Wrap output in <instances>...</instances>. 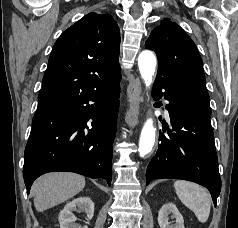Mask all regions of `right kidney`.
Listing matches in <instances>:
<instances>
[{"label": "right kidney", "mask_w": 238, "mask_h": 228, "mask_svg": "<svg viewBox=\"0 0 238 228\" xmlns=\"http://www.w3.org/2000/svg\"><path fill=\"white\" fill-rule=\"evenodd\" d=\"M75 210L84 212L87 220H90L94 215V203L89 197H78L67 203L59 213L60 228H88L87 225L76 223L77 218L73 215Z\"/></svg>", "instance_id": "1"}]
</instances>
